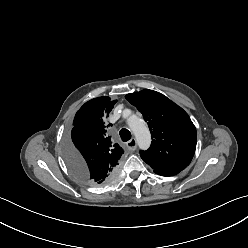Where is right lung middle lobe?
Instances as JSON below:
<instances>
[{
    "label": "right lung middle lobe",
    "mask_w": 248,
    "mask_h": 248,
    "mask_svg": "<svg viewBox=\"0 0 248 248\" xmlns=\"http://www.w3.org/2000/svg\"><path fill=\"white\" fill-rule=\"evenodd\" d=\"M70 155H71V147H70V143L67 142L64 146V156H65L66 162L69 164L71 162Z\"/></svg>",
    "instance_id": "dd1d6c3e"
}]
</instances>
